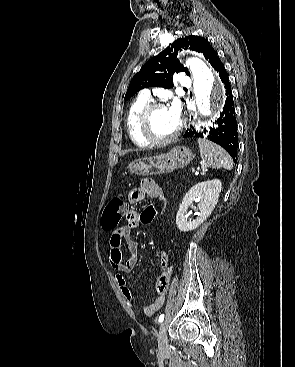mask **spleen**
<instances>
[{"instance_id": "spleen-1", "label": "spleen", "mask_w": 295, "mask_h": 367, "mask_svg": "<svg viewBox=\"0 0 295 367\" xmlns=\"http://www.w3.org/2000/svg\"><path fill=\"white\" fill-rule=\"evenodd\" d=\"M200 156L202 158V169L207 168L231 170L233 161L229 154L217 144L205 139L198 140Z\"/></svg>"}]
</instances>
